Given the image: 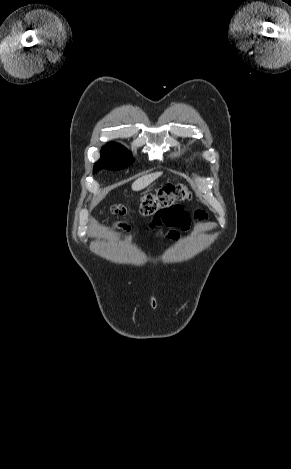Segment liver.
Masks as SVG:
<instances>
[{"label":"liver","instance_id":"liver-1","mask_svg":"<svg viewBox=\"0 0 291 469\" xmlns=\"http://www.w3.org/2000/svg\"><path fill=\"white\" fill-rule=\"evenodd\" d=\"M162 175V172H155L152 174H148L142 176L135 180L132 184L133 191H140L150 185L153 181H155L158 177Z\"/></svg>","mask_w":291,"mask_h":469}]
</instances>
